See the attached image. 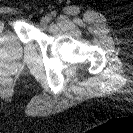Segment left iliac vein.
I'll list each match as a JSON object with an SVG mask.
<instances>
[{
  "label": "left iliac vein",
  "mask_w": 133,
  "mask_h": 133,
  "mask_svg": "<svg viewBox=\"0 0 133 133\" xmlns=\"http://www.w3.org/2000/svg\"><path fill=\"white\" fill-rule=\"evenodd\" d=\"M50 20H51V16L47 15L45 17H42L40 22L43 26H46Z\"/></svg>",
  "instance_id": "obj_1"
}]
</instances>
